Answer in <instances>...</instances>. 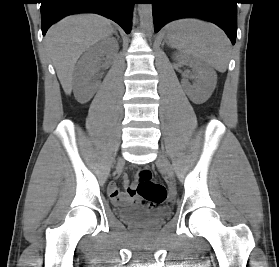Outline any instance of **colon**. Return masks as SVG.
<instances>
[{"label":"colon","mask_w":279,"mask_h":267,"mask_svg":"<svg viewBox=\"0 0 279 267\" xmlns=\"http://www.w3.org/2000/svg\"><path fill=\"white\" fill-rule=\"evenodd\" d=\"M142 198V201L149 208L155 205H161L167 196L164 185L155 182L151 171L144 168L138 173V185L136 191Z\"/></svg>","instance_id":"obj_1"}]
</instances>
